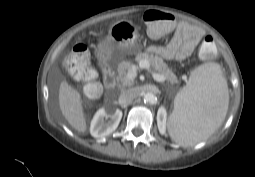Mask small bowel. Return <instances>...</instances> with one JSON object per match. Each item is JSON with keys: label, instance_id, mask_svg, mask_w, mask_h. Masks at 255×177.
I'll return each mask as SVG.
<instances>
[{"label": "small bowel", "instance_id": "obj_1", "mask_svg": "<svg viewBox=\"0 0 255 177\" xmlns=\"http://www.w3.org/2000/svg\"><path fill=\"white\" fill-rule=\"evenodd\" d=\"M204 34L200 27L181 22L166 45L150 46L148 52L166 60H184L202 43Z\"/></svg>", "mask_w": 255, "mask_h": 177}]
</instances>
